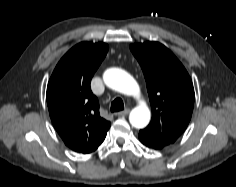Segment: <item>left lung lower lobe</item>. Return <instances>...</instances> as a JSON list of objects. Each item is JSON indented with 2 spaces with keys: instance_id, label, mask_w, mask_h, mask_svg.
<instances>
[{
  "instance_id": "obj_1",
  "label": "left lung lower lobe",
  "mask_w": 236,
  "mask_h": 187,
  "mask_svg": "<svg viewBox=\"0 0 236 187\" xmlns=\"http://www.w3.org/2000/svg\"><path fill=\"white\" fill-rule=\"evenodd\" d=\"M140 141L148 146V147H152V148H155V149H162L164 146L163 145H160V144H157L155 142H152V141H149V140H146V139H143V138H139Z\"/></svg>"
}]
</instances>
